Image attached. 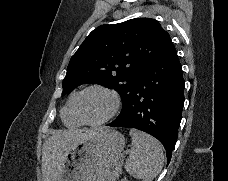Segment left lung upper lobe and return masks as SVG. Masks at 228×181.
Wrapping results in <instances>:
<instances>
[{"mask_svg": "<svg viewBox=\"0 0 228 181\" xmlns=\"http://www.w3.org/2000/svg\"><path fill=\"white\" fill-rule=\"evenodd\" d=\"M171 41L152 18H135L93 30L72 56L62 95L84 83L115 89L122 99V117L139 73Z\"/></svg>", "mask_w": 228, "mask_h": 181, "instance_id": "obj_1", "label": "left lung upper lobe"}]
</instances>
